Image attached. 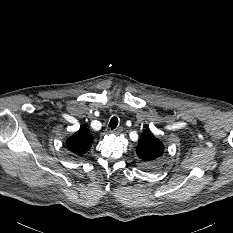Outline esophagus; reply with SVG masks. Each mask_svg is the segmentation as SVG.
<instances>
[{
	"mask_svg": "<svg viewBox=\"0 0 233 233\" xmlns=\"http://www.w3.org/2000/svg\"><path fill=\"white\" fill-rule=\"evenodd\" d=\"M122 131H123L122 126H119V127H117V128L114 130V133H115V134H119V133H121Z\"/></svg>",
	"mask_w": 233,
	"mask_h": 233,
	"instance_id": "esophagus-1",
	"label": "esophagus"
}]
</instances>
